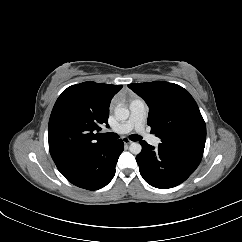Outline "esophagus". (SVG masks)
I'll return each instance as SVG.
<instances>
[{"label": "esophagus", "mask_w": 242, "mask_h": 242, "mask_svg": "<svg viewBox=\"0 0 242 242\" xmlns=\"http://www.w3.org/2000/svg\"><path fill=\"white\" fill-rule=\"evenodd\" d=\"M123 142H124V144H131L132 143V141L131 140H129L128 138H123Z\"/></svg>", "instance_id": "esophagus-1"}]
</instances>
